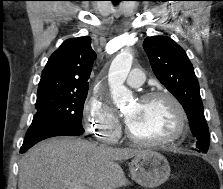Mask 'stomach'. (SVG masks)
I'll use <instances>...</instances> for the list:
<instances>
[{"label": "stomach", "mask_w": 223, "mask_h": 189, "mask_svg": "<svg viewBox=\"0 0 223 189\" xmlns=\"http://www.w3.org/2000/svg\"><path fill=\"white\" fill-rule=\"evenodd\" d=\"M130 173L139 185L145 188H155L169 178L170 166L163 155L145 150L131 161Z\"/></svg>", "instance_id": "1"}]
</instances>
